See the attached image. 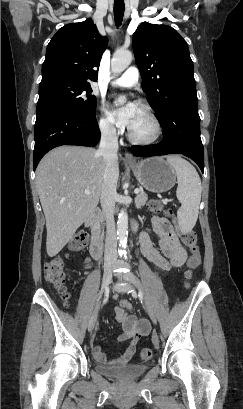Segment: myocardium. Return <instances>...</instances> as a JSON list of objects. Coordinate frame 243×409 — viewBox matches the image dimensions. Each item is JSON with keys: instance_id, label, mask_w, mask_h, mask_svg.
<instances>
[{"instance_id": "f54148a6", "label": "myocardium", "mask_w": 243, "mask_h": 409, "mask_svg": "<svg viewBox=\"0 0 243 409\" xmlns=\"http://www.w3.org/2000/svg\"><path fill=\"white\" fill-rule=\"evenodd\" d=\"M136 105L142 107L146 111L147 115L149 116L152 122L153 133L149 137H138L134 135L130 131V129H128V138L131 142L136 143V144H143V145L153 144L157 142L162 136L161 122L149 103L139 100L136 102Z\"/></svg>"}]
</instances>
